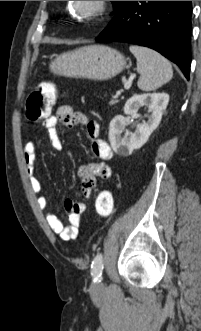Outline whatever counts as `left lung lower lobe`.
Returning a JSON list of instances; mask_svg holds the SVG:
<instances>
[{"mask_svg": "<svg viewBox=\"0 0 201 331\" xmlns=\"http://www.w3.org/2000/svg\"><path fill=\"white\" fill-rule=\"evenodd\" d=\"M191 1H122L96 41L152 48L176 63L189 79Z\"/></svg>", "mask_w": 201, "mask_h": 331, "instance_id": "0a47b994", "label": "left lung lower lobe"}]
</instances>
